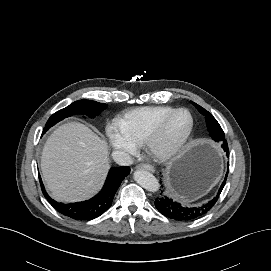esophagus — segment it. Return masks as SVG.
Returning <instances> with one entry per match:
<instances>
[{
  "mask_svg": "<svg viewBox=\"0 0 271 271\" xmlns=\"http://www.w3.org/2000/svg\"><path fill=\"white\" fill-rule=\"evenodd\" d=\"M137 169H142V170H146V171H149V172H155V169L152 165L150 164H146V163H143V164H139L137 166Z\"/></svg>",
  "mask_w": 271,
  "mask_h": 271,
  "instance_id": "esophagus-1",
  "label": "esophagus"
}]
</instances>
